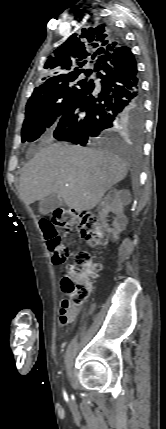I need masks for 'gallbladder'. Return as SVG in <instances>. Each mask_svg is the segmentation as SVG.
Instances as JSON below:
<instances>
[{"mask_svg": "<svg viewBox=\"0 0 166 429\" xmlns=\"http://www.w3.org/2000/svg\"><path fill=\"white\" fill-rule=\"evenodd\" d=\"M64 205L65 203L62 199L58 198L55 194H52L39 202V213L47 215L53 210Z\"/></svg>", "mask_w": 166, "mask_h": 429, "instance_id": "gallbladder-1", "label": "gallbladder"}]
</instances>
